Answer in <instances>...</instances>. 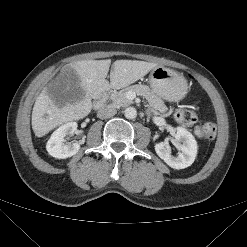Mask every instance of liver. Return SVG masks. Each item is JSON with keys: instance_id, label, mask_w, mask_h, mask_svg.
Wrapping results in <instances>:
<instances>
[{"instance_id": "liver-1", "label": "liver", "mask_w": 247, "mask_h": 247, "mask_svg": "<svg viewBox=\"0 0 247 247\" xmlns=\"http://www.w3.org/2000/svg\"><path fill=\"white\" fill-rule=\"evenodd\" d=\"M111 60H83L66 65L62 72L78 76L77 93L74 101L56 104L47 89L37 97L32 111V129L36 136L42 137L63 123L86 117L92 109L91 99L100 98L110 89H121L136 82L152 69L156 63L138 60H116L110 71V83L106 80Z\"/></svg>"}]
</instances>
